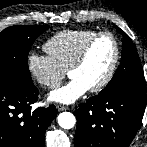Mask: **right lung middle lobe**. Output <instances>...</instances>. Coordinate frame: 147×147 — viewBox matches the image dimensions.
Segmentation results:
<instances>
[{
  "label": "right lung middle lobe",
  "mask_w": 147,
  "mask_h": 147,
  "mask_svg": "<svg viewBox=\"0 0 147 147\" xmlns=\"http://www.w3.org/2000/svg\"><path fill=\"white\" fill-rule=\"evenodd\" d=\"M48 28L46 25H18L0 33V81L23 86L33 84L28 53L35 39Z\"/></svg>",
  "instance_id": "right-lung-middle-lobe-1"
}]
</instances>
